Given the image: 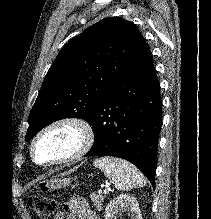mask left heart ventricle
Wrapping results in <instances>:
<instances>
[{"mask_svg":"<svg viewBox=\"0 0 211 219\" xmlns=\"http://www.w3.org/2000/svg\"><path fill=\"white\" fill-rule=\"evenodd\" d=\"M79 142V133L71 127H60L47 132L35 146L39 162H51L72 153Z\"/></svg>","mask_w":211,"mask_h":219,"instance_id":"1","label":"left heart ventricle"}]
</instances>
